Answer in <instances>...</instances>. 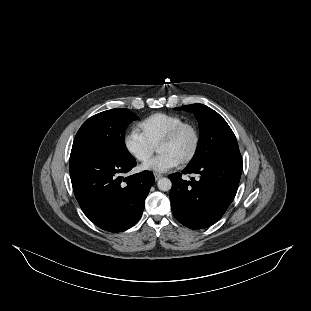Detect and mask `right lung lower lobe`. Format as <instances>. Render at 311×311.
Instances as JSON below:
<instances>
[{
	"instance_id": "right-lung-lower-lobe-1",
	"label": "right lung lower lobe",
	"mask_w": 311,
	"mask_h": 311,
	"mask_svg": "<svg viewBox=\"0 0 311 311\" xmlns=\"http://www.w3.org/2000/svg\"><path fill=\"white\" fill-rule=\"evenodd\" d=\"M135 165L133 157L123 159L102 152H87L70 159L75 197L85 215L101 229L125 231L140 219L155 178L150 171L120 177Z\"/></svg>"
}]
</instances>
